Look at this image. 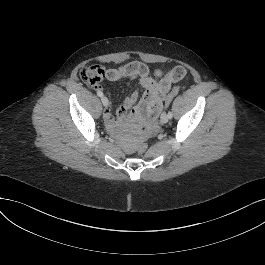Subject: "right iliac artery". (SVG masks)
<instances>
[{
  "instance_id": "1",
  "label": "right iliac artery",
  "mask_w": 265,
  "mask_h": 265,
  "mask_svg": "<svg viewBox=\"0 0 265 265\" xmlns=\"http://www.w3.org/2000/svg\"><path fill=\"white\" fill-rule=\"evenodd\" d=\"M97 95H98L99 97H103V93H102L101 91H98V92H97Z\"/></svg>"
}]
</instances>
